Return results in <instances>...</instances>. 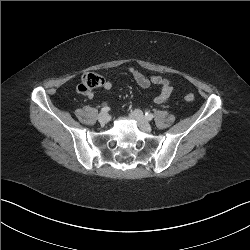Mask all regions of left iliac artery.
<instances>
[{"instance_id": "obj_1", "label": "left iliac artery", "mask_w": 250, "mask_h": 250, "mask_svg": "<svg viewBox=\"0 0 250 250\" xmlns=\"http://www.w3.org/2000/svg\"><path fill=\"white\" fill-rule=\"evenodd\" d=\"M153 117H154V115H153L152 113H149V112H146V113H145V118H146L147 120H152Z\"/></svg>"}]
</instances>
